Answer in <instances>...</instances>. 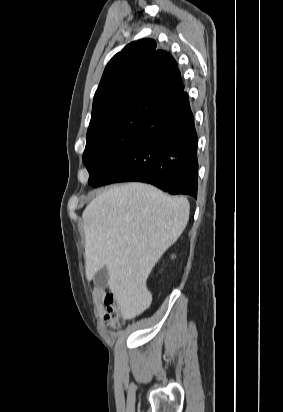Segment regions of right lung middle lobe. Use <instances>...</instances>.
I'll return each mask as SVG.
<instances>
[{
	"label": "right lung middle lobe",
	"mask_w": 283,
	"mask_h": 412,
	"mask_svg": "<svg viewBox=\"0 0 283 412\" xmlns=\"http://www.w3.org/2000/svg\"><path fill=\"white\" fill-rule=\"evenodd\" d=\"M163 108L134 105L89 125L83 162L98 180L155 121Z\"/></svg>",
	"instance_id": "1"
}]
</instances>
